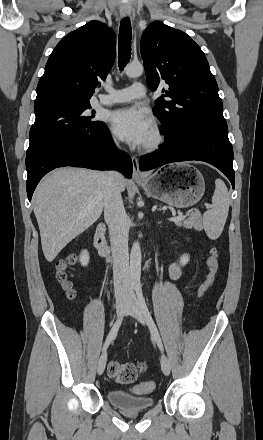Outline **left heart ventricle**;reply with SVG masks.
<instances>
[{"instance_id": "left-heart-ventricle-1", "label": "left heart ventricle", "mask_w": 263, "mask_h": 440, "mask_svg": "<svg viewBox=\"0 0 263 440\" xmlns=\"http://www.w3.org/2000/svg\"><path fill=\"white\" fill-rule=\"evenodd\" d=\"M151 136H152V133H151V131H150V132L147 134L146 138L144 139L143 143L148 142V141L151 139ZM143 143H142V144H143Z\"/></svg>"}]
</instances>
